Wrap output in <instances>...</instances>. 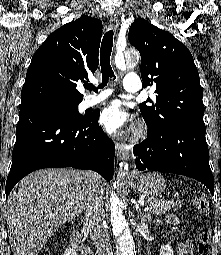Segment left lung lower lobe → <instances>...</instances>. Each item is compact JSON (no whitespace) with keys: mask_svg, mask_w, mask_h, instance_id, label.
Here are the masks:
<instances>
[{"mask_svg":"<svg viewBox=\"0 0 221 255\" xmlns=\"http://www.w3.org/2000/svg\"><path fill=\"white\" fill-rule=\"evenodd\" d=\"M205 132V128L181 121L157 130L149 128L147 138L134 147L136 168L194 178L213 194L214 179Z\"/></svg>","mask_w":221,"mask_h":255,"instance_id":"1","label":"left lung lower lobe"}]
</instances>
